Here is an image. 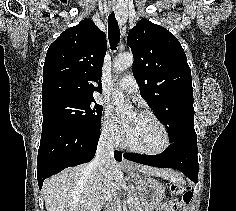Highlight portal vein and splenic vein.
<instances>
[{"label": "portal vein and splenic vein", "instance_id": "1", "mask_svg": "<svg viewBox=\"0 0 236 211\" xmlns=\"http://www.w3.org/2000/svg\"><path fill=\"white\" fill-rule=\"evenodd\" d=\"M131 202H132V199H128V200H127V203H128V204H130ZM119 203H120V202H119ZM119 206H120V204H119Z\"/></svg>", "mask_w": 236, "mask_h": 211}]
</instances>
